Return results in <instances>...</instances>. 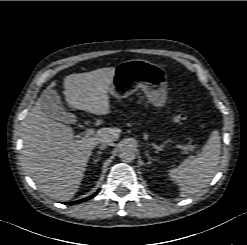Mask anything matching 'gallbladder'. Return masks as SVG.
Listing matches in <instances>:
<instances>
[{"label":"gallbladder","mask_w":247,"mask_h":245,"mask_svg":"<svg viewBox=\"0 0 247 245\" xmlns=\"http://www.w3.org/2000/svg\"><path fill=\"white\" fill-rule=\"evenodd\" d=\"M39 100L42 111L49 118L66 123L70 121L72 115L66 112L56 90L47 88L43 91Z\"/></svg>","instance_id":"gallbladder-1"}]
</instances>
